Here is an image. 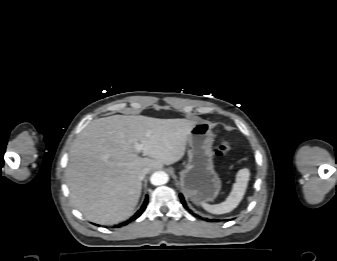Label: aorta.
Segmentation results:
<instances>
[{"instance_id":"aorta-1","label":"aorta","mask_w":337,"mask_h":261,"mask_svg":"<svg viewBox=\"0 0 337 261\" xmlns=\"http://www.w3.org/2000/svg\"><path fill=\"white\" fill-rule=\"evenodd\" d=\"M168 179L169 177L167 173H165L164 171H157L152 174L150 182L155 186H159L166 184L168 182Z\"/></svg>"}]
</instances>
